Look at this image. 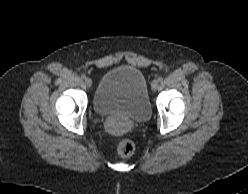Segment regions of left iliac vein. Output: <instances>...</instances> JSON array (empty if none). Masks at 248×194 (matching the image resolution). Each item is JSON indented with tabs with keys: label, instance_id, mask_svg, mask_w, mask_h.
Instances as JSON below:
<instances>
[{
	"label": "left iliac vein",
	"instance_id": "1",
	"mask_svg": "<svg viewBox=\"0 0 248 194\" xmlns=\"http://www.w3.org/2000/svg\"><path fill=\"white\" fill-rule=\"evenodd\" d=\"M151 87L155 91L159 88V83L157 81H153Z\"/></svg>",
	"mask_w": 248,
	"mask_h": 194
}]
</instances>
